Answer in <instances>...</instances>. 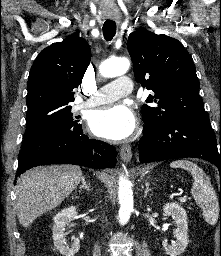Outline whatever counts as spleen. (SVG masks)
Listing matches in <instances>:
<instances>
[{"label": "spleen", "mask_w": 221, "mask_h": 256, "mask_svg": "<svg viewBox=\"0 0 221 256\" xmlns=\"http://www.w3.org/2000/svg\"><path fill=\"white\" fill-rule=\"evenodd\" d=\"M171 168H181L193 176L191 194L196 204L201 208L203 217L210 225H215L219 217V202L217 195L205 172L189 160H176L170 163Z\"/></svg>", "instance_id": "3e777b00"}]
</instances>
